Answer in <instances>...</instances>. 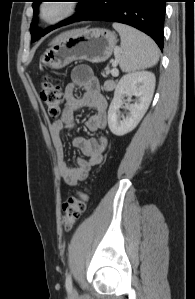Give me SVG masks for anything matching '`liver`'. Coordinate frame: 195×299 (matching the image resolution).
Segmentation results:
<instances>
[{
  "instance_id": "1",
  "label": "liver",
  "mask_w": 195,
  "mask_h": 299,
  "mask_svg": "<svg viewBox=\"0 0 195 299\" xmlns=\"http://www.w3.org/2000/svg\"><path fill=\"white\" fill-rule=\"evenodd\" d=\"M67 33H68V32L63 33V34L57 36V37L51 42V44H54L55 42L59 41V40H60L62 37H64Z\"/></svg>"
}]
</instances>
